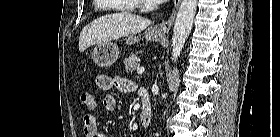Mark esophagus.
<instances>
[{
  "label": "esophagus",
  "mask_w": 280,
  "mask_h": 137,
  "mask_svg": "<svg viewBox=\"0 0 280 137\" xmlns=\"http://www.w3.org/2000/svg\"><path fill=\"white\" fill-rule=\"evenodd\" d=\"M173 2H174V9H173L171 16L169 17L168 20L154 25L153 30L155 32L160 33V34H167L169 32V30L171 29L173 22L175 20L179 5L181 3V0H174Z\"/></svg>",
  "instance_id": "34e87169"
}]
</instances>
